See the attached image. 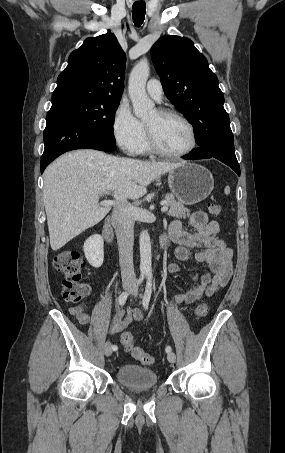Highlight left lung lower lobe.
<instances>
[{
    "label": "left lung lower lobe",
    "mask_w": 285,
    "mask_h": 453,
    "mask_svg": "<svg viewBox=\"0 0 285 453\" xmlns=\"http://www.w3.org/2000/svg\"><path fill=\"white\" fill-rule=\"evenodd\" d=\"M214 157L226 165L230 166L238 176H240V167L235 156L234 139L219 138L211 140L191 153L182 156L184 159H207Z\"/></svg>",
    "instance_id": "1"
}]
</instances>
